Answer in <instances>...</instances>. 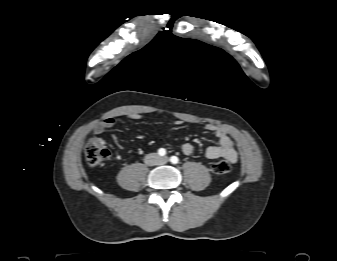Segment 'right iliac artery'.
Masks as SVG:
<instances>
[{
	"label": "right iliac artery",
	"mask_w": 337,
	"mask_h": 261,
	"mask_svg": "<svg viewBox=\"0 0 337 261\" xmlns=\"http://www.w3.org/2000/svg\"><path fill=\"white\" fill-rule=\"evenodd\" d=\"M158 154H159L160 156H164V155H166V150H165L164 148H160V149L158 150Z\"/></svg>",
	"instance_id": "82829eb1"
}]
</instances>
